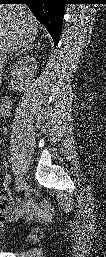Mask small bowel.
I'll return each instance as SVG.
<instances>
[{
	"label": "small bowel",
	"instance_id": "small-bowel-1",
	"mask_svg": "<svg viewBox=\"0 0 106 257\" xmlns=\"http://www.w3.org/2000/svg\"><path fill=\"white\" fill-rule=\"evenodd\" d=\"M25 210L33 214L35 207L32 204H27L25 208H13L6 199H2L0 203V224L4 225L7 221L20 218Z\"/></svg>",
	"mask_w": 106,
	"mask_h": 257
}]
</instances>
